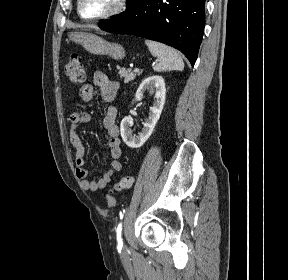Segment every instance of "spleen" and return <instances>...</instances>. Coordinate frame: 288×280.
I'll return each mask as SVG.
<instances>
[{"label":"spleen","instance_id":"3e777b00","mask_svg":"<svg viewBox=\"0 0 288 280\" xmlns=\"http://www.w3.org/2000/svg\"><path fill=\"white\" fill-rule=\"evenodd\" d=\"M151 54L159 59L153 69L154 71H169V70H183L184 62L180 55L173 48L162 43L145 40Z\"/></svg>","mask_w":288,"mask_h":280}]
</instances>
